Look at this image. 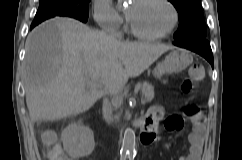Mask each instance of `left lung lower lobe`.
Masks as SVG:
<instances>
[{
    "instance_id": "obj_1",
    "label": "left lung lower lobe",
    "mask_w": 242,
    "mask_h": 160,
    "mask_svg": "<svg viewBox=\"0 0 242 160\" xmlns=\"http://www.w3.org/2000/svg\"><path fill=\"white\" fill-rule=\"evenodd\" d=\"M176 46L186 48L193 52H196L208 60L213 67V54L209 42L206 38H195L186 41H176L174 42Z\"/></svg>"
}]
</instances>
